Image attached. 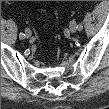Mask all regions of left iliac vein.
I'll return each instance as SVG.
<instances>
[{
  "label": "left iliac vein",
  "instance_id": "obj_1",
  "mask_svg": "<svg viewBox=\"0 0 109 109\" xmlns=\"http://www.w3.org/2000/svg\"><path fill=\"white\" fill-rule=\"evenodd\" d=\"M69 29L71 33H75L77 31V23L76 21H71L69 25Z\"/></svg>",
  "mask_w": 109,
  "mask_h": 109
}]
</instances>
